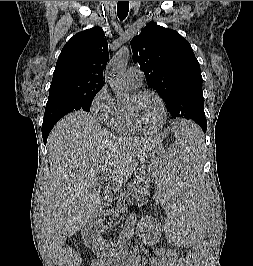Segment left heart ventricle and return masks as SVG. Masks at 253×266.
Returning <instances> with one entry per match:
<instances>
[{
  "mask_svg": "<svg viewBox=\"0 0 253 266\" xmlns=\"http://www.w3.org/2000/svg\"><path fill=\"white\" fill-rule=\"evenodd\" d=\"M135 111L140 125L145 129L157 128L163 119L161 105L157 98L146 95L135 103Z\"/></svg>",
  "mask_w": 253,
  "mask_h": 266,
  "instance_id": "left-heart-ventricle-1",
  "label": "left heart ventricle"
}]
</instances>
